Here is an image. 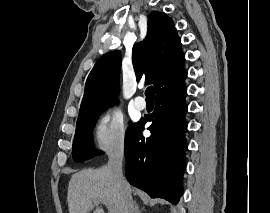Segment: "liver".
<instances>
[{
  "label": "liver",
  "instance_id": "obj_1",
  "mask_svg": "<svg viewBox=\"0 0 270 213\" xmlns=\"http://www.w3.org/2000/svg\"><path fill=\"white\" fill-rule=\"evenodd\" d=\"M129 193L131 187L127 183ZM69 213H104L99 203L106 201L115 213H124L123 190L108 166L85 169L72 175L67 191Z\"/></svg>",
  "mask_w": 270,
  "mask_h": 213
}]
</instances>
